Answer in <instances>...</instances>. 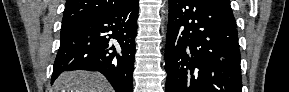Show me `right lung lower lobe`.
<instances>
[{
    "mask_svg": "<svg viewBox=\"0 0 289 92\" xmlns=\"http://www.w3.org/2000/svg\"><path fill=\"white\" fill-rule=\"evenodd\" d=\"M138 0L86 18L61 34L51 83L64 71L101 72L116 92H133Z\"/></svg>",
    "mask_w": 289,
    "mask_h": 92,
    "instance_id": "1",
    "label": "right lung lower lobe"
}]
</instances>
